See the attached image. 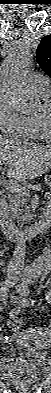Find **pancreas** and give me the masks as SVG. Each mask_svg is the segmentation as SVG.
I'll return each instance as SVG.
<instances>
[{
    "label": "pancreas",
    "instance_id": "1",
    "mask_svg": "<svg viewBox=\"0 0 51 393\" xmlns=\"http://www.w3.org/2000/svg\"><path fill=\"white\" fill-rule=\"evenodd\" d=\"M45 183L50 184V179L48 177H45ZM24 187L27 188V185H24ZM9 196V213L11 214L12 217H16L17 214L19 213L20 209L24 207L26 216H29V209L27 206V198L26 195H24L22 192H14L11 191ZM24 220H27V218L23 217Z\"/></svg>",
    "mask_w": 51,
    "mask_h": 393
}]
</instances>
